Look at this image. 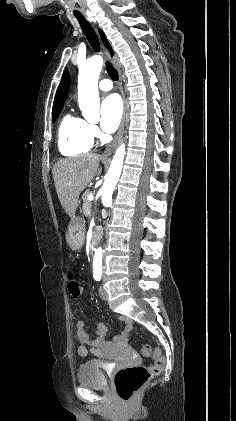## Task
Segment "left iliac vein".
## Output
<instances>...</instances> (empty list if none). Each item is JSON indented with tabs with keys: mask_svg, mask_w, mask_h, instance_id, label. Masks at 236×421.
<instances>
[{
	"mask_svg": "<svg viewBox=\"0 0 236 421\" xmlns=\"http://www.w3.org/2000/svg\"><path fill=\"white\" fill-rule=\"evenodd\" d=\"M100 296L103 300H108V294H107V289L104 285L100 286Z\"/></svg>",
	"mask_w": 236,
	"mask_h": 421,
	"instance_id": "left-iliac-vein-1",
	"label": "left iliac vein"
}]
</instances>
